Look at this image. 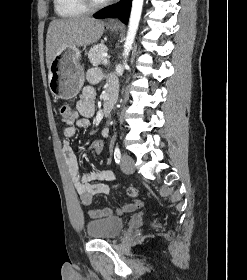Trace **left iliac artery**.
Returning a JSON list of instances; mask_svg holds the SVG:
<instances>
[{
  "mask_svg": "<svg viewBox=\"0 0 247 280\" xmlns=\"http://www.w3.org/2000/svg\"><path fill=\"white\" fill-rule=\"evenodd\" d=\"M114 159H115V162H116L117 164L120 163V160H121V151H120V149H119L118 146H116L115 149H114Z\"/></svg>",
  "mask_w": 247,
  "mask_h": 280,
  "instance_id": "obj_1",
  "label": "left iliac artery"
}]
</instances>
